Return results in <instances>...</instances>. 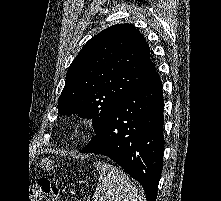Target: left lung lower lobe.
Here are the masks:
<instances>
[{"label": "left lung lower lobe", "mask_w": 221, "mask_h": 201, "mask_svg": "<svg viewBox=\"0 0 221 201\" xmlns=\"http://www.w3.org/2000/svg\"><path fill=\"white\" fill-rule=\"evenodd\" d=\"M163 92L155 71L114 107L81 153L102 154L125 169L156 201L163 166Z\"/></svg>", "instance_id": "left-lung-lower-lobe-1"}]
</instances>
